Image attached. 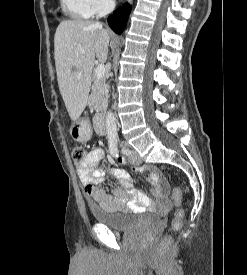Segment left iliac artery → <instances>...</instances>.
Wrapping results in <instances>:
<instances>
[{
    "label": "left iliac artery",
    "mask_w": 247,
    "mask_h": 275,
    "mask_svg": "<svg viewBox=\"0 0 247 275\" xmlns=\"http://www.w3.org/2000/svg\"><path fill=\"white\" fill-rule=\"evenodd\" d=\"M128 152H129V151H127V150H123V153H125V154H128Z\"/></svg>",
    "instance_id": "left-iliac-artery-1"
}]
</instances>
